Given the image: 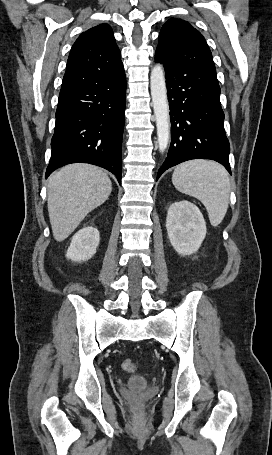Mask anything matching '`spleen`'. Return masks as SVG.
<instances>
[{
	"instance_id": "1",
	"label": "spleen",
	"mask_w": 272,
	"mask_h": 455,
	"mask_svg": "<svg viewBox=\"0 0 272 455\" xmlns=\"http://www.w3.org/2000/svg\"><path fill=\"white\" fill-rule=\"evenodd\" d=\"M172 182L177 190L203 203L212 226L222 222L230 195L229 175L222 165L201 159L184 162L175 168Z\"/></svg>"
}]
</instances>
